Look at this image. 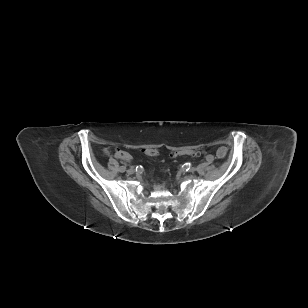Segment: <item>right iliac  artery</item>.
Listing matches in <instances>:
<instances>
[{"mask_svg": "<svg viewBox=\"0 0 308 308\" xmlns=\"http://www.w3.org/2000/svg\"><path fill=\"white\" fill-rule=\"evenodd\" d=\"M119 170H120V172H124V171L126 170V167H125V166H121V167L119 168Z\"/></svg>", "mask_w": 308, "mask_h": 308, "instance_id": "82829eb1", "label": "right iliac artery"}]
</instances>
